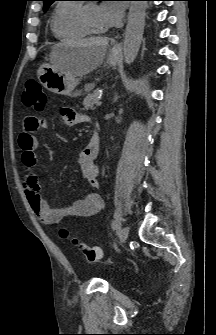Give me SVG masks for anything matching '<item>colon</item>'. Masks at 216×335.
<instances>
[{
    "mask_svg": "<svg viewBox=\"0 0 216 335\" xmlns=\"http://www.w3.org/2000/svg\"><path fill=\"white\" fill-rule=\"evenodd\" d=\"M23 103L37 112H41L46 108L48 97L36 80L29 79L26 81ZM59 233L62 238H69V231L66 228H61ZM71 243L83 254L88 262H97L102 257V251L99 247L87 245L76 238H71Z\"/></svg>",
    "mask_w": 216,
    "mask_h": 335,
    "instance_id": "obj_1",
    "label": "colon"
}]
</instances>
